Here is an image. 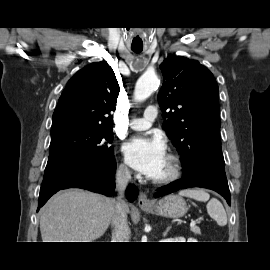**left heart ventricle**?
<instances>
[{
  "label": "left heart ventricle",
  "instance_id": "left-heart-ventricle-1",
  "mask_svg": "<svg viewBox=\"0 0 270 270\" xmlns=\"http://www.w3.org/2000/svg\"><path fill=\"white\" fill-rule=\"evenodd\" d=\"M169 169H170V162H169L168 158H166L161 171L158 173V175L155 178H161V177L167 175L169 172Z\"/></svg>",
  "mask_w": 270,
  "mask_h": 270
}]
</instances>
